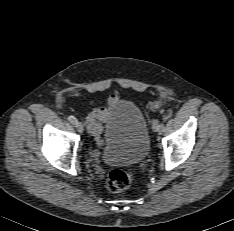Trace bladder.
<instances>
[{
    "label": "bladder",
    "mask_w": 234,
    "mask_h": 231,
    "mask_svg": "<svg viewBox=\"0 0 234 231\" xmlns=\"http://www.w3.org/2000/svg\"><path fill=\"white\" fill-rule=\"evenodd\" d=\"M104 138L108 143L105 162L109 165L138 164L150 151L146 118L131 100L120 99L110 108Z\"/></svg>",
    "instance_id": "31cf9c89"
}]
</instances>
